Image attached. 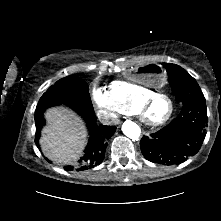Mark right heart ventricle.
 <instances>
[{"label": "right heart ventricle", "instance_id": "e07e8e85", "mask_svg": "<svg viewBox=\"0 0 221 221\" xmlns=\"http://www.w3.org/2000/svg\"><path fill=\"white\" fill-rule=\"evenodd\" d=\"M109 92L126 113H136L139 103L155 93L138 83L124 80L113 81Z\"/></svg>", "mask_w": 221, "mask_h": 221}]
</instances>
